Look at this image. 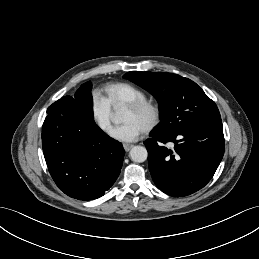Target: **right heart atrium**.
I'll use <instances>...</instances> for the list:
<instances>
[{"mask_svg":"<svg viewBox=\"0 0 259 259\" xmlns=\"http://www.w3.org/2000/svg\"><path fill=\"white\" fill-rule=\"evenodd\" d=\"M91 116L102 132H109L113 120L112 108L98 93H93L91 96Z\"/></svg>","mask_w":259,"mask_h":259,"instance_id":"obj_1","label":"right heart atrium"}]
</instances>
